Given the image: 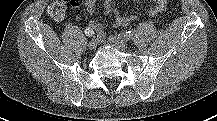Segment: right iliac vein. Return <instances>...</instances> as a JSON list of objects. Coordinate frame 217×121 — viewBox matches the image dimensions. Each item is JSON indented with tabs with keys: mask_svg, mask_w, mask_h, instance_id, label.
Returning a JSON list of instances; mask_svg holds the SVG:
<instances>
[{
	"mask_svg": "<svg viewBox=\"0 0 217 121\" xmlns=\"http://www.w3.org/2000/svg\"><path fill=\"white\" fill-rule=\"evenodd\" d=\"M97 45H98V41H97L96 39H92V40L88 43V48H89L90 50H94V49H96Z\"/></svg>",
	"mask_w": 217,
	"mask_h": 121,
	"instance_id": "obj_1",
	"label": "right iliac vein"
}]
</instances>
